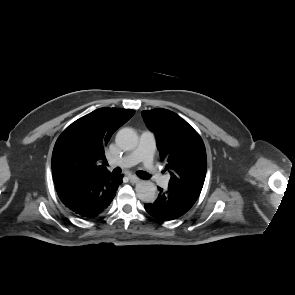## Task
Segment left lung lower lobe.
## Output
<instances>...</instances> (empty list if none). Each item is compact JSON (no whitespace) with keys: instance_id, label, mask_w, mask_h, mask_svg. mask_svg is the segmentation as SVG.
<instances>
[{"instance_id":"left-lung-lower-lobe-1","label":"left lung lower lobe","mask_w":295,"mask_h":295,"mask_svg":"<svg viewBox=\"0 0 295 295\" xmlns=\"http://www.w3.org/2000/svg\"><path fill=\"white\" fill-rule=\"evenodd\" d=\"M158 198L154 203L145 204L146 211L160 221L175 220L194 205L199 194L184 189L168 187L163 191L160 187Z\"/></svg>"}]
</instances>
